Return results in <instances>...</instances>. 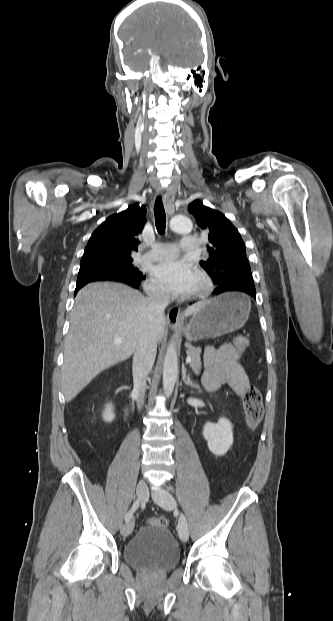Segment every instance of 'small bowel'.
Segmentation results:
<instances>
[{
	"label": "small bowel",
	"mask_w": 333,
	"mask_h": 621,
	"mask_svg": "<svg viewBox=\"0 0 333 621\" xmlns=\"http://www.w3.org/2000/svg\"><path fill=\"white\" fill-rule=\"evenodd\" d=\"M204 365L202 385L206 391L212 392L222 384H228L237 395L244 394L249 380L240 363L239 355L232 346L207 349Z\"/></svg>",
	"instance_id": "1"
}]
</instances>
